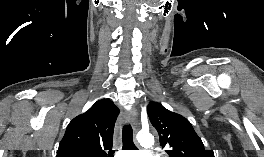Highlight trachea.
Segmentation results:
<instances>
[{
    "instance_id": "3493384b",
    "label": "trachea",
    "mask_w": 264,
    "mask_h": 157,
    "mask_svg": "<svg viewBox=\"0 0 264 157\" xmlns=\"http://www.w3.org/2000/svg\"><path fill=\"white\" fill-rule=\"evenodd\" d=\"M123 150H137L133 142V130L131 125H125L122 131Z\"/></svg>"
}]
</instances>
